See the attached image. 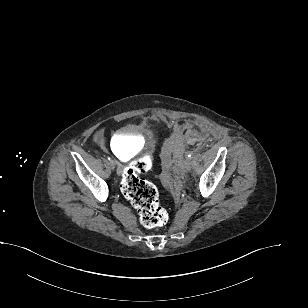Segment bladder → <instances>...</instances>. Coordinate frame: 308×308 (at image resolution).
<instances>
[{
  "label": "bladder",
  "instance_id": "obj_1",
  "mask_svg": "<svg viewBox=\"0 0 308 308\" xmlns=\"http://www.w3.org/2000/svg\"><path fill=\"white\" fill-rule=\"evenodd\" d=\"M142 146L139 130L134 127L119 130L111 140V149L121 160L129 159Z\"/></svg>",
  "mask_w": 308,
  "mask_h": 308
}]
</instances>
